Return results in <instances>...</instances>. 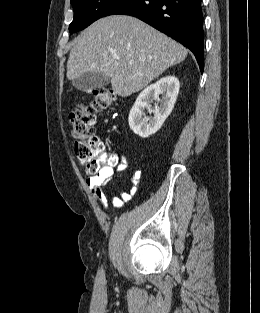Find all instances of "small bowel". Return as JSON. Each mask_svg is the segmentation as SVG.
<instances>
[{
    "label": "small bowel",
    "instance_id": "small-bowel-1",
    "mask_svg": "<svg viewBox=\"0 0 260 313\" xmlns=\"http://www.w3.org/2000/svg\"><path fill=\"white\" fill-rule=\"evenodd\" d=\"M112 158V164L107 168L100 170L97 174L87 175L85 178L86 186L91 190L92 195L104 210L109 208V200L103 187L106 185L115 173H122L128 168L127 158L123 153H118ZM141 172L135 171L131 178L132 187L129 192H123L120 195L112 194L111 202L116 209H122L136 191L140 183Z\"/></svg>",
    "mask_w": 260,
    "mask_h": 313
}]
</instances>
